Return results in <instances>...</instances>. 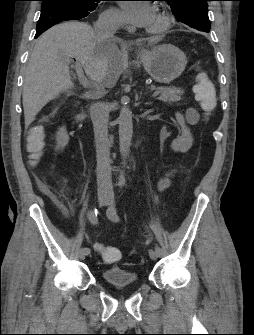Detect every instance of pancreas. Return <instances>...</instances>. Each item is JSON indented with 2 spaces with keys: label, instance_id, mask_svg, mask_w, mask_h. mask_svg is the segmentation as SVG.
I'll use <instances>...</instances> for the list:
<instances>
[{
  "label": "pancreas",
  "instance_id": "obj_1",
  "mask_svg": "<svg viewBox=\"0 0 254 335\" xmlns=\"http://www.w3.org/2000/svg\"><path fill=\"white\" fill-rule=\"evenodd\" d=\"M157 91L160 92L158 100L168 103L179 102L184 93L181 88L176 87H158Z\"/></svg>",
  "mask_w": 254,
  "mask_h": 335
}]
</instances>
